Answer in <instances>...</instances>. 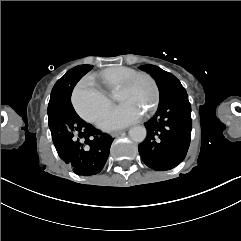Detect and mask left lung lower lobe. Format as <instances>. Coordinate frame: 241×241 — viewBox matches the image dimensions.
<instances>
[{
	"label": "left lung lower lobe",
	"instance_id": "1",
	"mask_svg": "<svg viewBox=\"0 0 241 241\" xmlns=\"http://www.w3.org/2000/svg\"><path fill=\"white\" fill-rule=\"evenodd\" d=\"M145 126L147 138L139 145L144 163L157 171L179 165L191 140V105L186 90L161 100L158 111Z\"/></svg>",
	"mask_w": 241,
	"mask_h": 241
}]
</instances>
